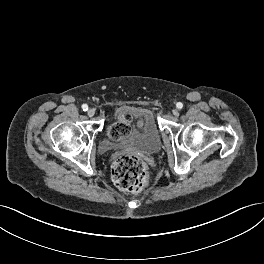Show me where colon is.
Returning a JSON list of instances; mask_svg holds the SVG:
<instances>
[{
  "instance_id": "colon-1",
  "label": "colon",
  "mask_w": 264,
  "mask_h": 264,
  "mask_svg": "<svg viewBox=\"0 0 264 264\" xmlns=\"http://www.w3.org/2000/svg\"><path fill=\"white\" fill-rule=\"evenodd\" d=\"M129 131L127 119H123L110 128L114 138L124 136ZM112 181L114 185L124 192H137L149 183V172L146 164L133 155H122L112 165Z\"/></svg>"
}]
</instances>
